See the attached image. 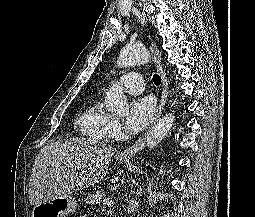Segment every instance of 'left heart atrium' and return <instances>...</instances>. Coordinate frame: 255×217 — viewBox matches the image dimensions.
<instances>
[{
    "label": "left heart atrium",
    "mask_w": 255,
    "mask_h": 217,
    "mask_svg": "<svg viewBox=\"0 0 255 217\" xmlns=\"http://www.w3.org/2000/svg\"><path fill=\"white\" fill-rule=\"evenodd\" d=\"M154 113V102L149 97L133 99L129 105L125 127L131 134L140 132L151 120Z\"/></svg>",
    "instance_id": "39dd6f15"
}]
</instances>
